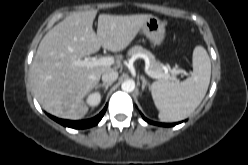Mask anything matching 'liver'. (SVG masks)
Returning <instances> with one entry per match:
<instances>
[{"mask_svg": "<svg viewBox=\"0 0 248 165\" xmlns=\"http://www.w3.org/2000/svg\"><path fill=\"white\" fill-rule=\"evenodd\" d=\"M96 14V10L70 14L49 30L38 46L30 68L32 91L42 108L54 116L82 118L88 110L84 97L96 87L101 75L111 70L110 66L88 68L73 62L101 47L112 52L124 50L153 17L100 14L95 33L92 26Z\"/></svg>", "mask_w": 248, "mask_h": 165, "instance_id": "1", "label": "liver"}]
</instances>
